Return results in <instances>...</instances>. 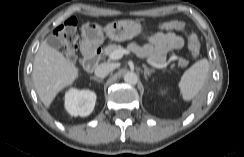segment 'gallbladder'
I'll return each mask as SVG.
<instances>
[{
    "instance_id": "gallbladder-1",
    "label": "gallbladder",
    "mask_w": 244,
    "mask_h": 157,
    "mask_svg": "<svg viewBox=\"0 0 244 157\" xmlns=\"http://www.w3.org/2000/svg\"><path fill=\"white\" fill-rule=\"evenodd\" d=\"M46 41H47V44L54 49H61V48L65 47V44L62 41V39L55 35H49L46 38Z\"/></svg>"
}]
</instances>
